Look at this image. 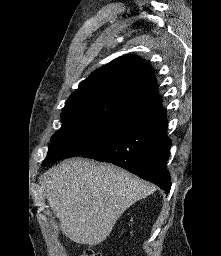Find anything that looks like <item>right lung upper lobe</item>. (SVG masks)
Wrapping results in <instances>:
<instances>
[{"mask_svg": "<svg viewBox=\"0 0 221 256\" xmlns=\"http://www.w3.org/2000/svg\"><path fill=\"white\" fill-rule=\"evenodd\" d=\"M103 106L144 115V121L164 114L151 65L135 55L111 61L80 83L63 112Z\"/></svg>", "mask_w": 221, "mask_h": 256, "instance_id": "right-lung-upper-lobe-1", "label": "right lung upper lobe"}]
</instances>
